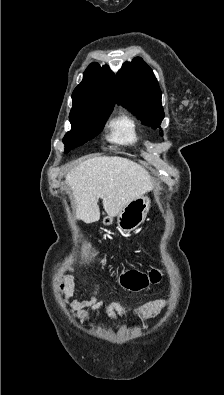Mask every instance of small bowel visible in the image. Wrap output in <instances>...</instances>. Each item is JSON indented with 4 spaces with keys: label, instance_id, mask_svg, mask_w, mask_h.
<instances>
[{
    "label": "small bowel",
    "instance_id": "small-bowel-1",
    "mask_svg": "<svg viewBox=\"0 0 224 395\" xmlns=\"http://www.w3.org/2000/svg\"><path fill=\"white\" fill-rule=\"evenodd\" d=\"M72 268L69 267V271ZM72 282V276L69 274L65 278V283L62 284L65 286H70ZM99 290L100 286L96 285L92 294V297L86 301H74L71 305V311L82 321H89L91 319V314L85 310V308L90 307L92 311L96 314L104 313V315L116 321L120 318H123L127 315L134 317L137 320H143L149 317L156 315L165 305L166 301L163 299L149 301L144 303L138 307L128 308L120 303H105L102 299L99 298ZM66 296L68 297L72 291L70 288H67Z\"/></svg>",
    "mask_w": 224,
    "mask_h": 395
}]
</instances>
